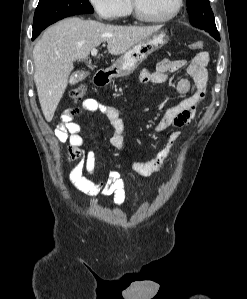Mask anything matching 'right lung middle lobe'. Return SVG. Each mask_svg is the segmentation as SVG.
Wrapping results in <instances>:
<instances>
[{
	"label": "right lung middle lobe",
	"instance_id": "right-lung-middle-lobe-1",
	"mask_svg": "<svg viewBox=\"0 0 247 299\" xmlns=\"http://www.w3.org/2000/svg\"><path fill=\"white\" fill-rule=\"evenodd\" d=\"M93 12L88 0H39L34 14L33 35H39L42 30L60 19Z\"/></svg>",
	"mask_w": 247,
	"mask_h": 299
}]
</instances>
